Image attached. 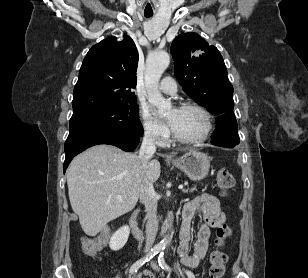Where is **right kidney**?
<instances>
[{"label": "right kidney", "mask_w": 308, "mask_h": 278, "mask_svg": "<svg viewBox=\"0 0 308 278\" xmlns=\"http://www.w3.org/2000/svg\"><path fill=\"white\" fill-rule=\"evenodd\" d=\"M130 229L127 225L118 229L110 238L109 247L113 251H118L124 247L129 237Z\"/></svg>", "instance_id": "ca27d5eb"}]
</instances>
